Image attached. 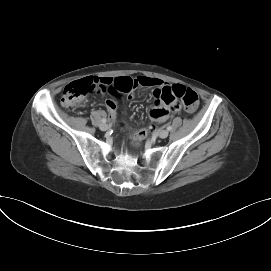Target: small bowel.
Instances as JSON below:
<instances>
[{"label": "small bowel", "mask_w": 271, "mask_h": 271, "mask_svg": "<svg viewBox=\"0 0 271 271\" xmlns=\"http://www.w3.org/2000/svg\"><path fill=\"white\" fill-rule=\"evenodd\" d=\"M98 80L96 83L97 92L106 97L109 114L112 118L117 116V106L121 105L125 98L128 97L133 89H147L154 87V96L157 101L149 108L148 114L152 121L162 122L171 117L174 113L180 110V105L177 101L166 103L162 98V90L171 85L157 78L147 76H121L118 79L111 77L91 78ZM121 128L127 129V126L121 122ZM132 137L139 139V133H132Z\"/></svg>", "instance_id": "small-bowel-1"}]
</instances>
